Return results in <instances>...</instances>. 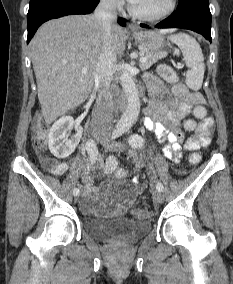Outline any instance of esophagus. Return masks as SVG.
Masks as SVG:
<instances>
[{
  "label": "esophagus",
  "mask_w": 233,
  "mask_h": 284,
  "mask_svg": "<svg viewBox=\"0 0 233 284\" xmlns=\"http://www.w3.org/2000/svg\"><path fill=\"white\" fill-rule=\"evenodd\" d=\"M128 29L132 32L137 31V26L135 24H129Z\"/></svg>",
  "instance_id": "1"
}]
</instances>
